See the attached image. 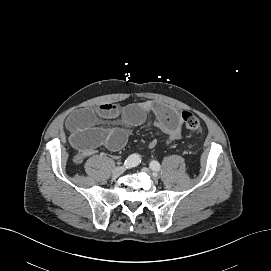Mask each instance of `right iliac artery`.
Listing matches in <instances>:
<instances>
[{
    "label": "right iliac artery",
    "instance_id": "right-iliac-artery-1",
    "mask_svg": "<svg viewBox=\"0 0 271 271\" xmlns=\"http://www.w3.org/2000/svg\"><path fill=\"white\" fill-rule=\"evenodd\" d=\"M141 162V158L138 154H132L130 155L124 162V166L126 168H132L135 167Z\"/></svg>",
    "mask_w": 271,
    "mask_h": 271
}]
</instances>
